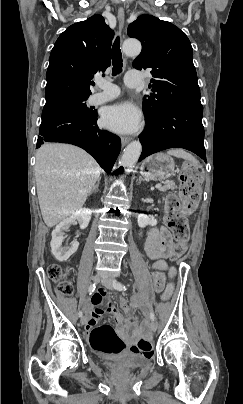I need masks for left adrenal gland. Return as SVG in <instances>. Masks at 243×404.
Wrapping results in <instances>:
<instances>
[{
    "mask_svg": "<svg viewBox=\"0 0 243 404\" xmlns=\"http://www.w3.org/2000/svg\"><path fill=\"white\" fill-rule=\"evenodd\" d=\"M142 180H143L142 176H139L138 186H139V184H141Z\"/></svg>",
    "mask_w": 243,
    "mask_h": 404,
    "instance_id": "1",
    "label": "left adrenal gland"
}]
</instances>
